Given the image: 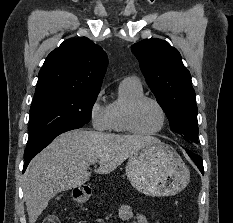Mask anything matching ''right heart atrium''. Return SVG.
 Returning <instances> with one entry per match:
<instances>
[{"label": "right heart atrium", "instance_id": "right-heart-atrium-1", "mask_svg": "<svg viewBox=\"0 0 233 223\" xmlns=\"http://www.w3.org/2000/svg\"><path fill=\"white\" fill-rule=\"evenodd\" d=\"M104 90H101L89 109V117L93 127L97 130L109 129V105L102 101Z\"/></svg>", "mask_w": 233, "mask_h": 223}]
</instances>
